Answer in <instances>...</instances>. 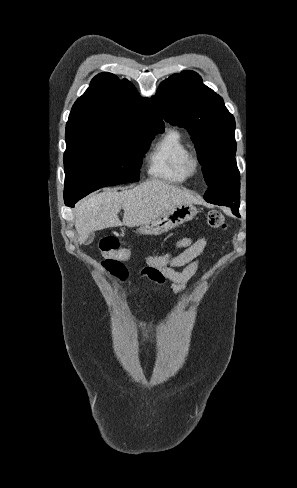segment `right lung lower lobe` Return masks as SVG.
Here are the masks:
<instances>
[{"label":"right lung lower lobe","mask_w":297,"mask_h":488,"mask_svg":"<svg viewBox=\"0 0 297 488\" xmlns=\"http://www.w3.org/2000/svg\"><path fill=\"white\" fill-rule=\"evenodd\" d=\"M69 207H74L73 205H70Z\"/></svg>","instance_id":"1"}]
</instances>
